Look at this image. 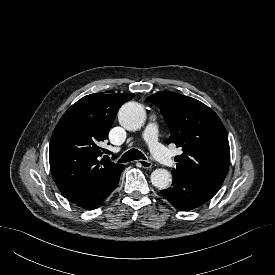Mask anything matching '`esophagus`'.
Wrapping results in <instances>:
<instances>
[{
    "label": "esophagus",
    "mask_w": 275,
    "mask_h": 275,
    "mask_svg": "<svg viewBox=\"0 0 275 275\" xmlns=\"http://www.w3.org/2000/svg\"><path fill=\"white\" fill-rule=\"evenodd\" d=\"M137 163L145 169L151 168L153 165L149 160H138Z\"/></svg>",
    "instance_id": "34e87169"
}]
</instances>
